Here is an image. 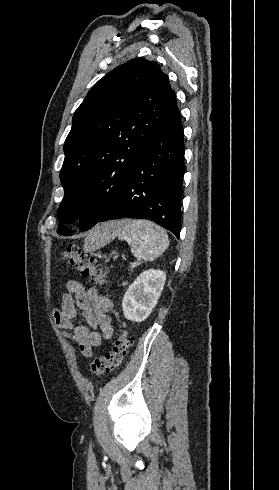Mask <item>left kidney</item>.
Instances as JSON below:
<instances>
[{
	"label": "left kidney",
	"instance_id": "left-kidney-1",
	"mask_svg": "<svg viewBox=\"0 0 279 490\" xmlns=\"http://www.w3.org/2000/svg\"><path fill=\"white\" fill-rule=\"evenodd\" d=\"M166 280L162 270H145L129 286L122 300L123 316L131 322H144L155 308Z\"/></svg>",
	"mask_w": 279,
	"mask_h": 490
}]
</instances>
